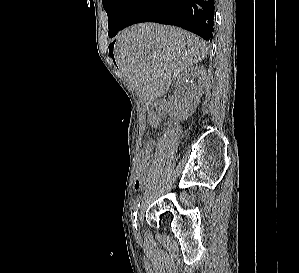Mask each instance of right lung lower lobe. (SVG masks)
Masks as SVG:
<instances>
[{
	"label": "right lung lower lobe",
	"mask_w": 299,
	"mask_h": 273,
	"mask_svg": "<svg viewBox=\"0 0 299 273\" xmlns=\"http://www.w3.org/2000/svg\"><path fill=\"white\" fill-rule=\"evenodd\" d=\"M214 4V0H134L119 31L135 23L157 22L175 25L211 40Z\"/></svg>",
	"instance_id": "1"
}]
</instances>
